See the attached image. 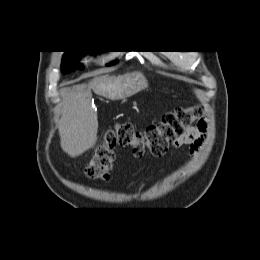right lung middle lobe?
<instances>
[{
  "label": "right lung middle lobe",
  "mask_w": 260,
  "mask_h": 260,
  "mask_svg": "<svg viewBox=\"0 0 260 260\" xmlns=\"http://www.w3.org/2000/svg\"><path fill=\"white\" fill-rule=\"evenodd\" d=\"M95 53L97 51H67L64 54L62 60V70L64 73L71 72L76 69H83V66L79 63L81 56L86 53ZM115 62L110 63L109 65H114Z\"/></svg>",
  "instance_id": "right-lung-middle-lobe-1"
}]
</instances>
